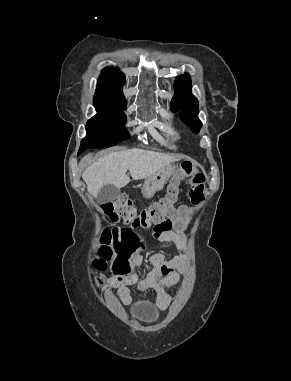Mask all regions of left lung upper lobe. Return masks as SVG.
I'll return each instance as SVG.
<instances>
[{
	"mask_svg": "<svg viewBox=\"0 0 291 381\" xmlns=\"http://www.w3.org/2000/svg\"><path fill=\"white\" fill-rule=\"evenodd\" d=\"M175 95L171 101L172 112L180 110V117L197 133L202 127L198 119V101L190 94L191 80L188 74L180 76L175 81Z\"/></svg>",
	"mask_w": 291,
	"mask_h": 381,
	"instance_id": "obj_1",
	"label": "left lung upper lobe"
}]
</instances>
